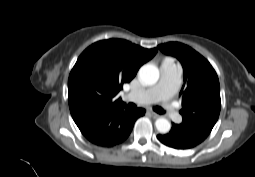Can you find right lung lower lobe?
<instances>
[{
	"label": "right lung lower lobe",
	"instance_id": "right-lung-lower-lobe-1",
	"mask_svg": "<svg viewBox=\"0 0 255 177\" xmlns=\"http://www.w3.org/2000/svg\"><path fill=\"white\" fill-rule=\"evenodd\" d=\"M144 114V109L128 110L123 103L112 109L87 115L75 123L91 143L113 147L128 138L135 121Z\"/></svg>",
	"mask_w": 255,
	"mask_h": 177
}]
</instances>
